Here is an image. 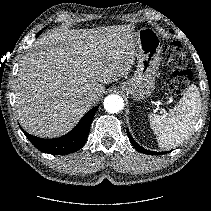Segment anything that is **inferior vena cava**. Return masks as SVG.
Returning <instances> with one entry per match:
<instances>
[{"instance_id":"602c4592","label":"inferior vena cava","mask_w":211,"mask_h":211,"mask_svg":"<svg viewBox=\"0 0 211 211\" xmlns=\"http://www.w3.org/2000/svg\"><path fill=\"white\" fill-rule=\"evenodd\" d=\"M84 100L88 104H93L98 100V97L94 94H87L85 95Z\"/></svg>"}]
</instances>
